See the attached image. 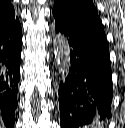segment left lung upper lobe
Here are the masks:
<instances>
[{
	"instance_id": "left-lung-upper-lobe-1",
	"label": "left lung upper lobe",
	"mask_w": 125,
	"mask_h": 128,
	"mask_svg": "<svg viewBox=\"0 0 125 128\" xmlns=\"http://www.w3.org/2000/svg\"><path fill=\"white\" fill-rule=\"evenodd\" d=\"M55 23L106 39L97 9L91 0H55Z\"/></svg>"
}]
</instances>
